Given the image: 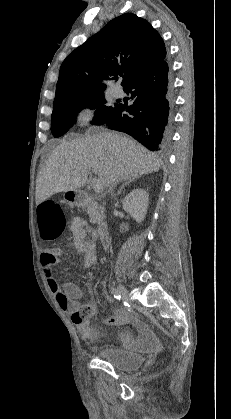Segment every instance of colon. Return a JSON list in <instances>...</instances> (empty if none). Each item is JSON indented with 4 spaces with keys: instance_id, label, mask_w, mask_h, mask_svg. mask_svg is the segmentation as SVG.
Wrapping results in <instances>:
<instances>
[{
    "instance_id": "colon-1",
    "label": "colon",
    "mask_w": 231,
    "mask_h": 419,
    "mask_svg": "<svg viewBox=\"0 0 231 419\" xmlns=\"http://www.w3.org/2000/svg\"><path fill=\"white\" fill-rule=\"evenodd\" d=\"M40 227L43 239L46 241L55 240L60 230L65 227V218L61 206L54 201H44L38 208ZM95 309L90 304H84L79 308L82 318L91 317Z\"/></svg>"
}]
</instances>
